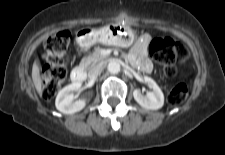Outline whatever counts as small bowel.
<instances>
[{
	"label": "small bowel",
	"instance_id": "small-bowel-1",
	"mask_svg": "<svg viewBox=\"0 0 225 155\" xmlns=\"http://www.w3.org/2000/svg\"><path fill=\"white\" fill-rule=\"evenodd\" d=\"M148 38L138 41L128 54L130 63L143 72L149 73L153 69L152 62L147 55Z\"/></svg>",
	"mask_w": 225,
	"mask_h": 155
}]
</instances>
